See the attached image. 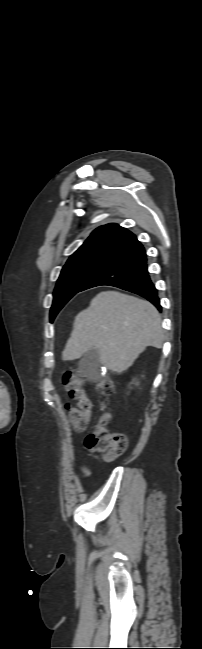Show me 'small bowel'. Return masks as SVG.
<instances>
[{
    "label": "small bowel",
    "instance_id": "obj_1",
    "mask_svg": "<svg viewBox=\"0 0 202 649\" xmlns=\"http://www.w3.org/2000/svg\"><path fill=\"white\" fill-rule=\"evenodd\" d=\"M80 475L83 479H87L91 476V471L89 468L82 466L80 467Z\"/></svg>",
    "mask_w": 202,
    "mask_h": 649
}]
</instances>
